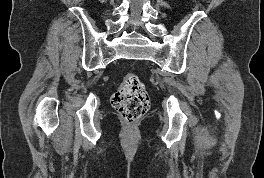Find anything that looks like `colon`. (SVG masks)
I'll use <instances>...</instances> for the list:
<instances>
[{
	"label": "colon",
	"mask_w": 264,
	"mask_h": 178,
	"mask_svg": "<svg viewBox=\"0 0 264 178\" xmlns=\"http://www.w3.org/2000/svg\"><path fill=\"white\" fill-rule=\"evenodd\" d=\"M111 103L123 120L129 123L138 121L149 109L144 83L135 74H126L113 94Z\"/></svg>",
	"instance_id": "colon-1"
}]
</instances>
